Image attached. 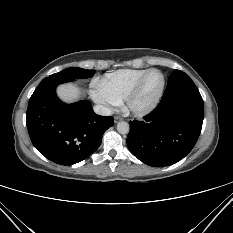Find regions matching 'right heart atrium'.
Here are the masks:
<instances>
[{"mask_svg": "<svg viewBox=\"0 0 233 233\" xmlns=\"http://www.w3.org/2000/svg\"><path fill=\"white\" fill-rule=\"evenodd\" d=\"M90 95L105 111H109L113 106L119 104L98 81L93 84V87L90 90Z\"/></svg>", "mask_w": 233, "mask_h": 233, "instance_id": "right-heart-atrium-1", "label": "right heart atrium"}]
</instances>
